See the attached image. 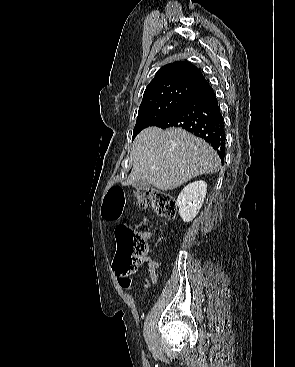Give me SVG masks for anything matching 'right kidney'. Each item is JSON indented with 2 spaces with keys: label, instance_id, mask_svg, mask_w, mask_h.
<instances>
[{
  "label": "right kidney",
  "instance_id": "ca27d5eb",
  "mask_svg": "<svg viewBox=\"0 0 295 367\" xmlns=\"http://www.w3.org/2000/svg\"><path fill=\"white\" fill-rule=\"evenodd\" d=\"M207 192V184L204 181H195L184 187L177 198L176 205L179 215L184 222L192 221L203 205Z\"/></svg>",
  "mask_w": 295,
  "mask_h": 367
}]
</instances>
